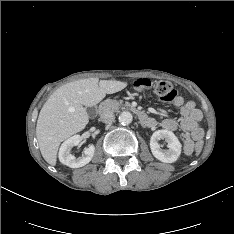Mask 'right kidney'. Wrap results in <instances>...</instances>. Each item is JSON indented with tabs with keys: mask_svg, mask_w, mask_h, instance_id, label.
Masks as SVG:
<instances>
[{
	"mask_svg": "<svg viewBox=\"0 0 234 234\" xmlns=\"http://www.w3.org/2000/svg\"><path fill=\"white\" fill-rule=\"evenodd\" d=\"M81 140L82 138L80 135H74L62 143L59 149V160L62 164L71 168H79L85 166L91 161L95 152V147L92 144L84 150L81 157H75L70 153L72 147L79 145Z\"/></svg>",
	"mask_w": 234,
	"mask_h": 234,
	"instance_id": "ca27d5eb",
	"label": "right kidney"
}]
</instances>
